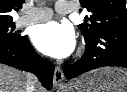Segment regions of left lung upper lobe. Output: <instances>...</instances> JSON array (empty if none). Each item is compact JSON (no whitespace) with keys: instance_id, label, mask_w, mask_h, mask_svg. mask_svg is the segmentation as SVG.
Wrapping results in <instances>:
<instances>
[{"instance_id":"5c2ea615","label":"left lung upper lobe","mask_w":127,"mask_h":92,"mask_svg":"<svg viewBox=\"0 0 127 92\" xmlns=\"http://www.w3.org/2000/svg\"><path fill=\"white\" fill-rule=\"evenodd\" d=\"M80 3L88 12L84 23L78 25L85 39L102 30L127 31L125 0H80Z\"/></svg>"}]
</instances>
